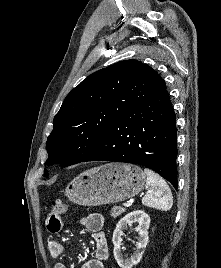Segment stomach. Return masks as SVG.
I'll return each mask as SVG.
<instances>
[{"label": "stomach", "mask_w": 221, "mask_h": 268, "mask_svg": "<svg viewBox=\"0 0 221 268\" xmlns=\"http://www.w3.org/2000/svg\"><path fill=\"white\" fill-rule=\"evenodd\" d=\"M145 182L146 176L139 166L107 163L75 177L67 185L65 195L78 205L100 206L134 197Z\"/></svg>", "instance_id": "1"}]
</instances>
